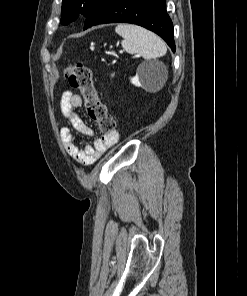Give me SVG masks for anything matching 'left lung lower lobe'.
<instances>
[{
    "mask_svg": "<svg viewBox=\"0 0 247 296\" xmlns=\"http://www.w3.org/2000/svg\"><path fill=\"white\" fill-rule=\"evenodd\" d=\"M165 3L166 0H103L87 16L84 30L104 23L137 24L158 34L175 52L173 23Z\"/></svg>",
    "mask_w": 247,
    "mask_h": 296,
    "instance_id": "obj_1",
    "label": "left lung lower lobe"
}]
</instances>
